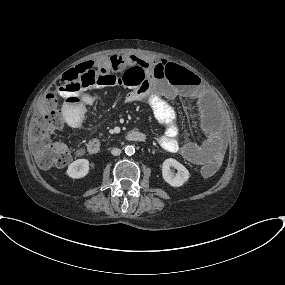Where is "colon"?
Masks as SVG:
<instances>
[{
	"instance_id": "obj_1",
	"label": "colon",
	"mask_w": 285,
	"mask_h": 285,
	"mask_svg": "<svg viewBox=\"0 0 285 285\" xmlns=\"http://www.w3.org/2000/svg\"><path fill=\"white\" fill-rule=\"evenodd\" d=\"M123 58L108 56L101 63L93 60L82 62L74 68L67 70L61 78L65 83V89L85 87L93 84L97 79L112 82L119 86H125L131 90L142 92L149 84L143 62L138 60L136 64L120 69ZM158 77L172 79L181 75V71L175 69L167 61L154 63ZM74 85V86H73ZM87 119H81L83 125ZM65 125V119L60 110L57 94H49L45 97L43 108L34 114L30 121L28 139L34 161L41 169H51L67 165L72 158L71 152L65 145L54 142L51 135ZM223 157L218 155L211 162L202 167L204 177L212 176L222 164Z\"/></svg>"
}]
</instances>
